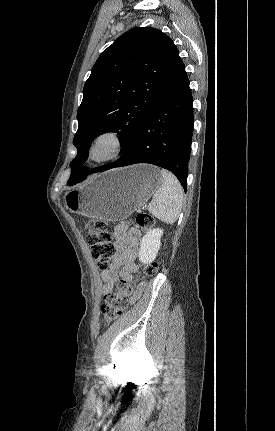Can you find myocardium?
Wrapping results in <instances>:
<instances>
[{"label": "myocardium", "instance_id": "myocardium-1", "mask_svg": "<svg viewBox=\"0 0 275 431\" xmlns=\"http://www.w3.org/2000/svg\"><path fill=\"white\" fill-rule=\"evenodd\" d=\"M124 140L114 129L96 133L87 146V159L94 164H105L117 160L123 153Z\"/></svg>", "mask_w": 275, "mask_h": 431}]
</instances>
